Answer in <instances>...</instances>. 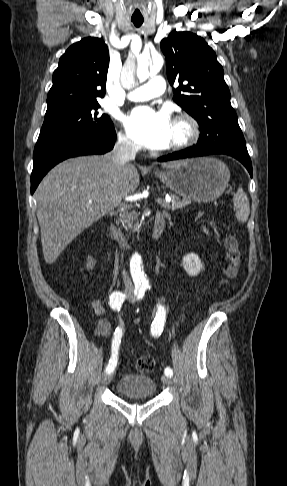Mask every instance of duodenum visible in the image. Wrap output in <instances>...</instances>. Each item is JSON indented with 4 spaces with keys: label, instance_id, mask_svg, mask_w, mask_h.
<instances>
[{
    "label": "duodenum",
    "instance_id": "duodenum-1",
    "mask_svg": "<svg viewBox=\"0 0 287 486\" xmlns=\"http://www.w3.org/2000/svg\"><path fill=\"white\" fill-rule=\"evenodd\" d=\"M164 227H165V219L162 215H157L156 218H155V223H154V229H153V238L154 239H158L161 234L163 233V230H164ZM111 235L114 237V239L118 242V244L122 247V248H130V244L129 242L127 241V239L125 238V236L123 235V233L116 229L114 226L110 225L108 227Z\"/></svg>",
    "mask_w": 287,
    "mask_h": 486
}]
</instances>
